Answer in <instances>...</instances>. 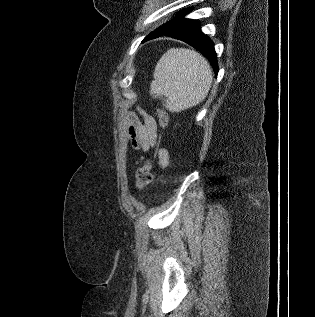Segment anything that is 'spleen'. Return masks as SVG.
<instances>
[{"label": "spleen", "mask_w": 315, "mask_h": 317, "mask_svg": "<svg viewBox=\"0 0 315 317\" xmlns=\"http://www.w3.org/2000/svg\"><path fill=\"white\" fill-rule=\"evenodd\" d=\"M211 85L212 70L202 55L190 49L171 48L156 65L150 93L162 97L169 111L180 112L202 102Z\"/></svg>", "instance_id": "3e777b00"}]
</instances>
